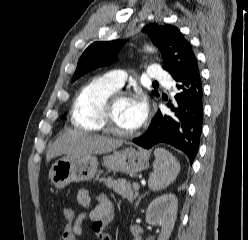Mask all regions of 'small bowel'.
Listing matches in <instances>:
<instances>
[{
	"instance_id": "obj_1",
	"label": "small bowel",
	"mask_w": 248,
	"mask_h": 240,
	"mask_svg": "<svg viewBox=\"0 0 248 240\" xmlns=\"http://www.w3.org/2000/svg\"><path fill=\"white\" fill-rule=\"evenodd\" d=\"M95 199L97 205L93 209L78 214L72 221L65 224L62 240H76L82 234V223L86 219L91 221L93 231L101 240H112L104 233V228L114 217V203L106 194H98ZM77 201L84 209H88L91 203L89 192L86 189L79 190Z\"/></svg>"
}]
</instances>
